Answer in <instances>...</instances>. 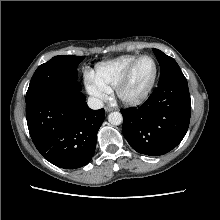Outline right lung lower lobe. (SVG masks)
<instances>
[{"instance_id":"98d812e1","label":"right lung lower lobe","mask_w":220,"mask_h":220,"mask_svg":"<svg viewBox=\"0 0 220 220\" xmlns=\"http://www.w3.org/2000/svg\"><path fill=\"white\" fill-rule=\"evenodd\" d=\"M78 90L49 94L26 103L30 136L38 151L52 164L76 169L88 164L95 152L104 109L92 110Z\"/></svg>"}]
</instances>
